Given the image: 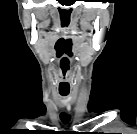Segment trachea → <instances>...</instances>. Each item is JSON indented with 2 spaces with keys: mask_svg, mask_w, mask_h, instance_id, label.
Instances as JSON below:
<instances>
[{
  "mask_svg": "<svg viewBox=\"0 0 137 134\" xmlns=\"http://www.w3.org/2000/svg\"><path fill=\"white\" fill-rule=\"evenodd\" d=\"M63 96H66L67 94H62Z\"/></svg>",
  "mask_w": 137,
  "mask_h": 134,
  "instance_id": "1",
  "label": "trachea"
}]
</instances>
